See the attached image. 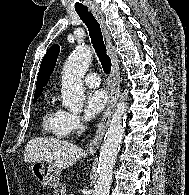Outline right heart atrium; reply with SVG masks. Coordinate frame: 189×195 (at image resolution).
Returning a JSON list of instances; mask_svg holds the SVG:
<instances>
[{
	"instance_id": "right-heart-atrium-1",
	"label": "right heart atrium",
	"mask_w": 189,
	"mask_h": 195,
	"mask_svg": "<svg viewBox=\"0 0 189 195\" xmlns=\"http://www.w3.org/2000/svg\"><path fill=\"white\" fill-rule=\"evenodd\" d=\"M81 117L77 113L67 112L66 130L68 133L77 131L81 127Z\"/></svg>"
}]
</instances>
